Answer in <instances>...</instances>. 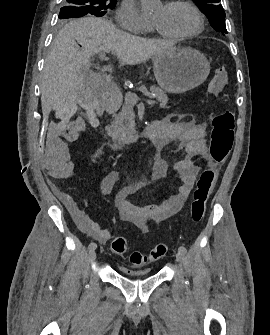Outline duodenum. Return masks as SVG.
<instances>
[{"label": "duodenum", "mask_w": 270, "mask_h": 335, "mask_svg": "<svg viewBox=\"0 0 270 335\" xmlns=\"http://www.w3.org/2000/svg\"><path fill=\"white\" fill-rule=\"evenodd\" d=\"M102 90L104 94V108L106 112L110 114L115 113L121 105V91L112 83H104ZM159 133L160 130L158 121H152L122 139L109 140L107 145L113 150H122L142 139L156 140L159 137Z\"/></svg>", "instance_id": "1"}]
</instances>
